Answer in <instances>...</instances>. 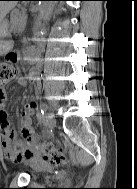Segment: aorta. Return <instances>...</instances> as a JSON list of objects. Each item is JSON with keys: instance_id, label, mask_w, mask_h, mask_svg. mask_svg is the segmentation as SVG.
I'll return each mask as SVG.
<instances>
[{"instance_id": "1", "label": "aorta", "mask_w": 137, "mask_h": 189, "mask_svg": "<svg viewBox=\"0 0 137 189\" xmlns=\"http://www.w3.org/2000/svg\"><path fill=\"white\" fill-rule=\"evenodd\" d=\"M52 1H40L39 2V13L38 19L40 22H45L49 16L50 10L52 8Z\"/></svg>"}]
</instances>
